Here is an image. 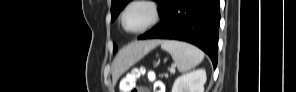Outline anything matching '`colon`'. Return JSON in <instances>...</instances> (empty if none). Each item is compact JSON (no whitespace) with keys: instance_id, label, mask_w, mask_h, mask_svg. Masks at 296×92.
Wrapping results in <instances>:
<instances>
[{"instance_id":"1","label":"colon","mask_w":296,"mask_h":92,"mask_svg":"<svg viewBox=\"0 0 296 92\" xmlns=\"http://www.w3.org/2000/svg\"><path fill=\"white\" fill-rule=\"evenodd\" d=\"M142 74L141 70H132L125 74L120 79V91L121 92H149V90L145 87L137 86L136 80ZM156 91H160V86L158 85Z\"/></svg>"}]
</instances>
